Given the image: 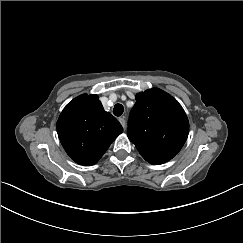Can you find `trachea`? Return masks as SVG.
I'll use <instances>...</instances> for the list:
<instances>
[{"label": "trachea", "instance_id": "trachea-1", "mask_svg": "<svg viewBox=\"0 0 243 243\" xmlns=\"http://www.w3.org/2000/svg\"><path fill=\"white\" fill-rule=\"evenodd\" d=\"M124 112V107L122 104H116L113 109V113L115 116H121Z\"/></svg>", "mask_w": 243, "mask_h": 243}]
</instances>
